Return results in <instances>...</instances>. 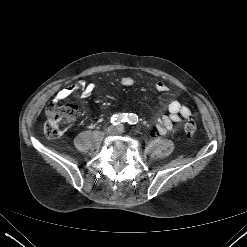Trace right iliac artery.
I'll use <instances>...</instances> for the list:
<instances>
[{
    "label": "right iliac artery",
    "instance_id": "82829eb1",
    "mask_svg": "<svg viewBox=\"0 0 247 247\" xmlns=\"http://www.w3.org/2000/svg\"><path fill=\"white\" fill-rule=\"evenodd\" d=\"M126 121H128V114L125 113L115 114L111 117V122L114 125H119Z\"/></svg>",
    "mask_w": 247,
    "mask_h": 247
}]
</instances>
